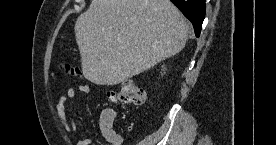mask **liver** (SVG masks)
Segmentation results:
<instances>
[{
  "label": "liver",
  "instance_id": "1",
  "mask_svg": "<svg viewBox=\"0 0 276 145\" xmlns=\"http://www.w3.org/2000/svg\"><path fill=\"white\" fill-rule=\"evenodd\" d=\"M84 77L116 85L178 54L188 25L170 0H92L76 20Z\"/></svg>",
  "mask_w": 276,
  "mask_h": 145
}]
</instances>
